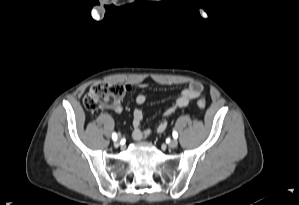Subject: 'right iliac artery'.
I'll use <instances>...</instances> for the list:
<instances>
[{"label": "right iliac artery", "mask_w": 299, "mask_h": 205, "mask_svg": "<svg viewBox=\"0 0 299 205\" xmlns=\"http://www.w3.org/2000/svg\"><path fill=\"white\" fill-rule=\"evenodd\" d=\"M112 139H113L114 141L117 140V134H116V133H113V134H112Z\"/></svg>", "instance_id": "right-iliac-artery-1"}]
</instances>
